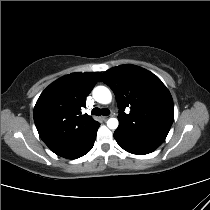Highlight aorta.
<instances>
[{"instance_id":"aorta-1","label":"aorta","mask_w":210,"mask_h":210,"mask_svg":"<svg viewBox=\"0 0 210 210\" xmlns=\"http://www.w3.org/2000/svg\"><path fill=\"white\" fill-rule=\"evenodd\" d=\"M93 98L95 101L101 104H108L112 100V95L110 90L105 86H97L93 89L92 92ZM119 122L116 118H110L107 121V126L109 129L115 130L117 129Z\"/></svg>"}]
</instances>
